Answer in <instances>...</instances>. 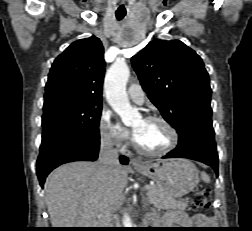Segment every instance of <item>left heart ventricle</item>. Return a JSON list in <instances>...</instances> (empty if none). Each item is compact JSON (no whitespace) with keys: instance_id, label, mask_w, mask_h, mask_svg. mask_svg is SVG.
<instances>
[{"instance_id":"b2bd125f","label":"left heart ventricle","mask_w":252,"mask_h":231,"mask_svg":"<svg viewBox=\"0 0 252 231\" xmlns=\"http://www.w3.org/2000/svg\"><path fill=\"white\" fill-rule=\"evenodd\" d=\"M132 128L137 142L147 150H162L171 141L168 129L158 121L137 119L133 123Z\"/></svg>"}]
</instances>
